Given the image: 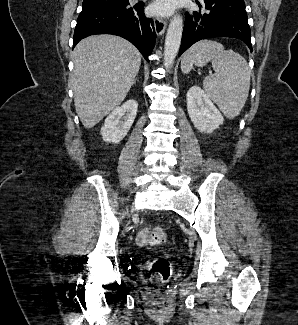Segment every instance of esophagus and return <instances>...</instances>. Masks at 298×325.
<instances>
[{"label":"esophagus","mask_w":298,"mask_h":325,"mask_svg":"<svg viewBox=\"0 0 298 325\" xmlns=\"http://www.w3.org/2000/svg\"><path fill=\"white\" fill-rule=\"evenodd\" d=\"M153 20H154V27L157 35H163L167 26L166 20L158 16L154 17Z\"/></svg>","instance_id":"1"}]
</instances>
